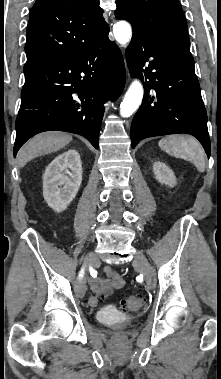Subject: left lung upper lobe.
Wrapping results in <instances>:
<instances>
[{"label": "left lung upper lobe", "mask_w": 221, "mask_h": 379, "mask_svg": "<svg viewBox=\"0 0 221 379\" xmlns=\"http://www.w3.org/2000/svg\"><path fill=\"white\" fill-rule=\"evenodd\" d=\"M117 19H125L133 32L191 55L188 29L178 0H116Z\"/></svg>", "instance_id": "left-lung-upper-lobe-1"}]
</instances>
